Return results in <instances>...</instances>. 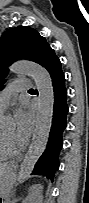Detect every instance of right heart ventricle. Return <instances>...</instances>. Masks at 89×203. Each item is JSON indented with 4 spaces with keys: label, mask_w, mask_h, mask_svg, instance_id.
Instances as JSON below:
<instances>
[{
    "label": "right heart ventricle",
    "mask_w": 89,
    "mask_h": 203,
    "mask_svg": "<svg viewBox=\"0 0 89 203\" xmlns=\"http://www.w3.org/2000/svg\"><path fill=\"white\" fill-rule=\"evenodd\" d=\"M7 158H9V156H7L5 154V152L3 151L2 142H1V138H0V160H6Z\"/></svg>",
    "instance_id": "e07e8e85"
}]
</instances>
